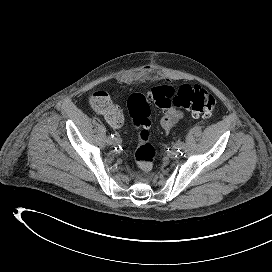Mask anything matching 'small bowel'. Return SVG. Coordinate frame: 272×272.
Wrapping results in <instances>:
<instances>
[{"mask_svg":"<svg viewBox=\"0 0 272 272\" xmlns=\"http://www.w3.org/2000/svg\"><path fill=\"white\" fill-rule=\"evenodd\" d=\"M98 93H103L106 95L108 104L104 109H98L94 107L95 110L104 115L109 124L114 128L121 127V125L123 124V116L119 109L114 104H112L106 93L104 92ZM183 117L184 115L180 110L174 107L169 108L163 113L160 119V125L165 133H169L176 125H178L181 122Z\"/></svg>","mask_w":272,"mask_h":272,"instance_id":"small-bowel-1","label":"small bowel"}]
</instances>
